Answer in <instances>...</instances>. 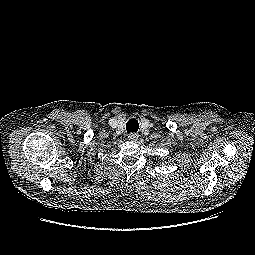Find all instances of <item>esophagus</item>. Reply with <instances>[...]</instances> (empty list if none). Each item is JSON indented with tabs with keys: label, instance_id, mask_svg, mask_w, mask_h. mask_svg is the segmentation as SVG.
<instances>
[{
	"label": "esophagus",
	"instance_id": "34e87169",
	"mask_svg": "<svg viewBox=\"0 0 255 255\" xmlns=\"http://www.w3.org/2000/svg\"><path fill=\"white\" fill-rule=\"evenodd\" d=\"M138 138H139V135L137 133H131L128 135V140L130 141H136L138 140Z\"/></svg>",
	"mask_w": 255,
	"mask_h": 255
}]
</instances>
